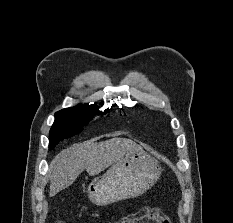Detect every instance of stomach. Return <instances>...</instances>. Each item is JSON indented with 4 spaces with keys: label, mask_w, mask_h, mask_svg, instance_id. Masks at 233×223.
Masks as SVG:
<instances>
[{
    "label": "stomach",
    "mask_w": 233,
    "mask_h": 223,
    "mask_svg": "<svg viewBox=\"0 0 233 223\" xmlns=\"http://www.w3.org/2000/svg\"><path fill=\"white\" fill-rule=\"evenodd\" d=\"M160 173L159 161L139 145L123 153L103 175L91 179L87 187L88 199L95 205H109L138 197L151 189Z\"/></svg>",
    "instance_id": "obj_1"
}]
</instances>
